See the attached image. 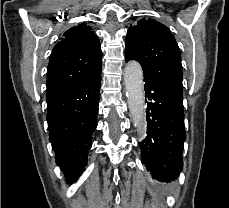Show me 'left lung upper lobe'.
Returning a JSON list of instances; mask_svg holds the SVG:
<instances>
[{
    "label": "left lung upper lobe",
    "instance_id": "left-lung-upper-lobe-1",
    "mask_svg": "<svg viewBox=\"0 0 229 208\" xmlns=\"http://www.w3.org/2000/svg\"><path fill=\"white\" fill-rule=\"evenodd\" d=\"M125 43L126 62L139 61L144 81L183 102L181 54L169 28L153 19H141L129 27Z\"/></svg>",
    "mask_w": 229,
    "mask_h": 208
}]
</instances>
